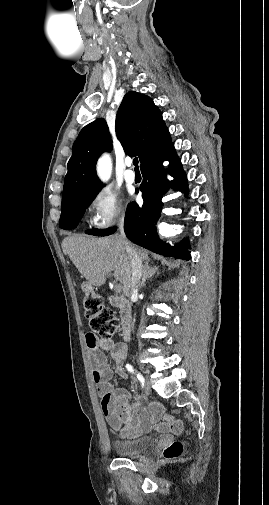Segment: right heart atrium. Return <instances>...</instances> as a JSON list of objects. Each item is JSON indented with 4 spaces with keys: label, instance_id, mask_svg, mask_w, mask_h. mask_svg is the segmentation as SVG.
I'll return each mask as SVG.
<instances>
[{
    "label": "right heart atrium",
    "instance_id": "1",
    "mask_svg": "<svg viewBox=\"0 0 269 505\" xmlns=\"http://www.w3.org/2000/svg\"><path fill=\"white\" fill-rule=\"evenodd\" d=\"M89 211L91 225L100 230L122 221L127 213L122 197L111 187H102L93 194Z\"/></svg>",
    "mask_w": 269,
    "mask_h": 505
}]
</instances>
